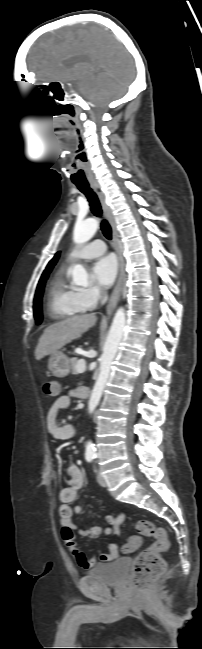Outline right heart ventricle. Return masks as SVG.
<instances>
[{
	"instance_id": "e07e8e85",
	"label": "right heart ventricle",
	"mask_w": 202,
	"mask_h": 649,
	"mask_svg": "<svg viewBox=\"0 0 202 649\" xmlns=\"http://www.w3.org/2000/svg\"><path fill=\"white\" fill-rule=\"evenodd\" d=\"M79 291L67 279L66 270H58L51 279L47 308L56 319L69 318L86 310L79 298Z\"/></svg>"
}]
</instances>
